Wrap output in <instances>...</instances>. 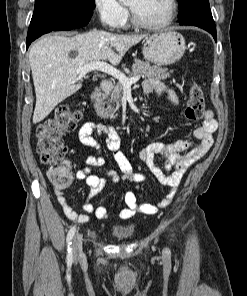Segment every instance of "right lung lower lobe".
<instances>
[{
	"label": "right lung lower lobe",
	"mask_w": 247,
	"mask_h": 296,
	"mask_svg": "<svg viewBox=\"0 0 247 296\" xmlns=\"http://www.w3.org/2000/svg\"><path fill=\"white\" fill-rule=\"evenodd\" d=\"M91 15L92 13L73 18L62 14L59 11H54L45 17L31 21L27 34L26 48L29 47L32 41L45 33L51 31L71 30L72 28L87 25Z\"/></svg>",
	"instance_id": "obj_1"
}]
</instances>
